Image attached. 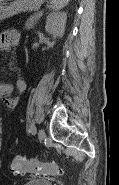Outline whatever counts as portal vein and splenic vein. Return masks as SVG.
<instances>
[{"instance_id":"obj_1","label":"portal vein and splenic vein","mask_w":119,"mask_h":185,"mask_svg":"<svg viewBox=\"0 0 119 185\" xmlns=\"http://www.w3.org/2000/svg\"><path fill=\"white\" fill-rule=\"evenodd\" d=\"M38 14L41 16L43 14V12L40 11Z\"/></svg>"}]
</instances>
